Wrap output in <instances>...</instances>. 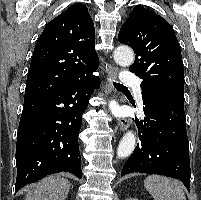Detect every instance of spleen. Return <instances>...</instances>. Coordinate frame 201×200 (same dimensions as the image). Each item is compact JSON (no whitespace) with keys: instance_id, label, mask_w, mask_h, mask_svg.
Masks as SVG:
<instances>
[{"instance_id":"spleen-1","label":"spleen","mask_w":201,"mask_h":200,"mask_svg":"<svg viewBox=\"0 0 201 200\" xmlns=\"http://www.w3.org/2000/svg\"><path fill=\"white\" fill-rule=\"evenodd\" d=\"M144 186L154 200H186L180 183L167 177L150 175Z\"/></svg>"}]
</instances>
